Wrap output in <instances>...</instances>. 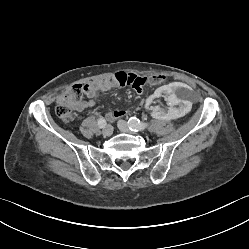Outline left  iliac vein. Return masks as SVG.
Returning a JSON list of instances; mask_svg holds the SVG:
<instances>
[{"instance_id": "obj_1", "label": "left iliac vein", "mask_w": 249, "mask_h": 249, "mask_svg": "<svg viewBox=\"0 0 249 249\" xmlns=\"http://www.w3.org/2000/svg\"><path fill=\"white\" fill-rule=\"evenodd\" d=\"M118 128L122 131V132H125V133H130V129L127 125V123L124 121V120H119L118 121Z\"/></svg>"}]
</instances>
